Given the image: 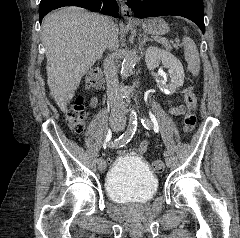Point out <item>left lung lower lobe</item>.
Here are the masks:
<instances>
[{
  "label": "left lung lower lobe",
  "instance_id": "obj_1",
  "mask_svg": "<svg viewBox=\"0 0 240 238\" xmlns=\"http://www.w3.org/2000/svg\"><path fill=\"white\" fill-rule=\"evenodd\" d=\"M127 5L137 18L183 16L205 31L203 0H128Z\"/></svg>",
  "mask_w": 240,
  "mask_h": 238
}]
</instances>
